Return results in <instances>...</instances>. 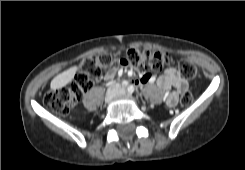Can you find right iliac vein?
<instances>
[{
  "mask_svg": "<svg viewBox=\"0 0 245 170\" xmlns=\"http://www.w3.org/2000/svg\"><path fill=\"white\" fill-rule=\"evenodd\" d=\"M116 95H117V92L115 89L108 90L105 96V102L110 103Z\"/></svg>",
  "mask_w": 245,
  "mask_h": 170,
  "instance_id": "right-iliac-vein-1",
  "label": "right iliac vein"
}]
</instances>
